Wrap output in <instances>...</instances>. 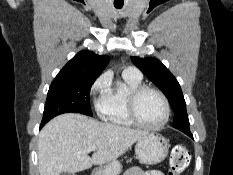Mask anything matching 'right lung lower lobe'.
<instances>
[{
  "instance_id": "right-lung-lower-lobe-1",
  "label": "right lung lower lobe",
  "mask_w": 233,
  "mask_h": 175,
  "mask_svg": "<svg viewBox=\"0 0 233 175\" xmlns=\"http://www.w3.org/2000/svg\"><path fill=\"white\" fill-rule=\"evenodd\" d=\"M45 124H41L40 128L43 127Z\"/></svg>"
}]
</instances>
